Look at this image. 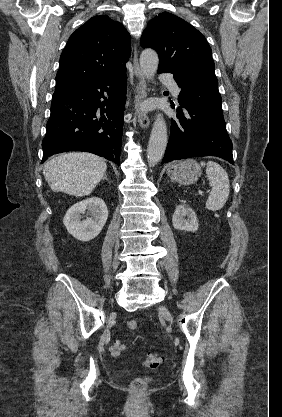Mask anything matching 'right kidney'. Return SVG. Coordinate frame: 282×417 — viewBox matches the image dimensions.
I'll use <instances>...</instances> for the list:
<instances>
[{
  "label": "right kidney",
  "instance_id": "ca27d5eb",
  "mask_svg": "<svg viewBox=\"0 0 282 417\" xmlns=\"http://www.w3.org/2000/svg\"><path fill=\"white\" fill-rule=\"evenodd\" d=\"M84 211H88L92 215L91 219L81 221L80 213H84ZM107 219L108 209L103 198L92 196V198H85V200L72 204L63 223L68 233L78 241H91L101 233Z\"/></svg>",
  "mask_w": 282,
  "mask_h": 417
}]
</instances>
